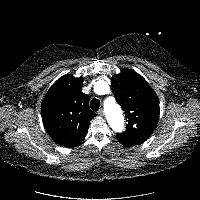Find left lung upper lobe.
<instances>
[{
	"label": "left lung upper lobe",
	"mask_w": 200,
	"mask_h": 200,
	"mask_svg": "<svg viewBox=\"0 0 200 200\" xmlns=\"http://www.w3.org/2000/svg\"><path fill=\"white\" fill-rule=\"evenodd\" d=\"M116 101L128 121L127 129L117 134L127 147L143 143L154 131L159 118V100L147 81L132 70H123L111 79Z\"/></svg>",
	"instance_id": "5c2ea615"
}]
</instances>
